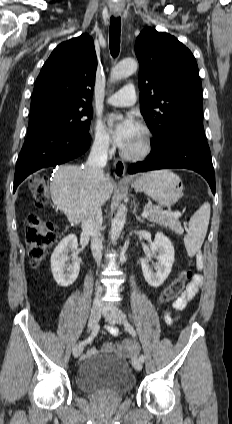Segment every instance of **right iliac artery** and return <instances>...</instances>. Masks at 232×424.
Masks as SVG:
<instances>
[{
	"label": "right iliac artery",
	"instance_id": "right-iliac-artery-1",
	"mask_svg": "<svg viewBox=\"0 0 232 424\" xmlns=\"http://www.w3.org/2000/svg\"><path fill=\"white\" fill-rule=\"evenodd\" d=\"M99 329H100V326L96 324L93 327L90 336L87 339H85L84 341H82L81 344L86 345V344L90 343L94 339V337L97 335Z\"/></svg>",
	"mask_w": 232,
	"mask_h": 424
}]
</instances>
